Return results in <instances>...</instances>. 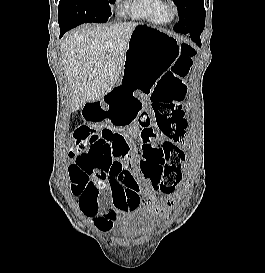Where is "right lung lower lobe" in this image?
<instances>
[{"label": "right lung lower lobe", "instance_id": "98d812e1", "mask_svg": "<svg viewBox=\"0 0 265 273\" xmlns=\"http://www.w3.org/2000/svg\"><path fill=\"white\" fill-rule=\"evenodd\" d=\"M64 33H65L64 31H61V35L60 36H62Z\"/></svg>", "mask_w": 265, "mask_h": 273}]
</instances>
